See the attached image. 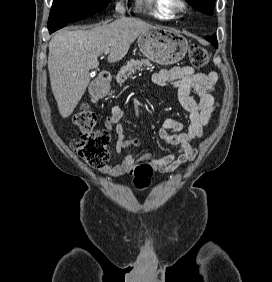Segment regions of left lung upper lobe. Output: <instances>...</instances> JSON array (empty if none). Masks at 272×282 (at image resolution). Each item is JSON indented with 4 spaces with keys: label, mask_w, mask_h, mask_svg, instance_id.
Returning a JSON list of instances; mask_svg holds the SVG:
<instances>
[{
    "label": "left lung upper lobe",
    "mask_w": 272,
    "mask_h": 282,
    "mask_svg": "<svg viewBox=\"0 0 272 282\" xmlns=\"http://www.w3.org/2000/svg\"><path fill=\"white\" fill-rule=\"evenodd\" d=\"M194 9L213 15L215 0H186Z\"/></svg>",
    "instance_id": "left-lung-upper-lobe-1"
}]
</instances>
